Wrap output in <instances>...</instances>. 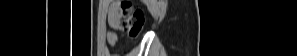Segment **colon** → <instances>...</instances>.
Instances as JSON below:
<instances>
[{
	"instance_id": "1",
	"label": "colon",
	"mask_w": 297,
	"mask_h": 56,
	"mask_svg": "<svg viewBox=\"0 0 297 56\" xmlns=\"http://www.w3.org/2000/svg\"><path fill=\"white\" fill-rule=\"evenodd\" d=\"M121 30L129 37H136L144 24V13L131 1H121L118 4Z\"/></svg>"
}]
</instances>
